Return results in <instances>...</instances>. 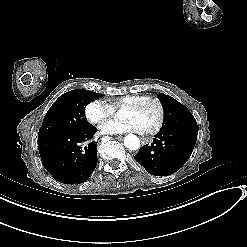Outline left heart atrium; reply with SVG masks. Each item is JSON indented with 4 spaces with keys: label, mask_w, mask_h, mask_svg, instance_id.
<instances>
[{
    "label": "left heart atrium",
    "mask_w": 247,
    "mask_h": 247,
    "mask_svg": "<svg viewBox=\"0 0 247 247\" xmlns=\"http://www.w3.org/2000/svg\"><path fill=\"white\" fill-rule=\"evenodd\" d=\"M103 133L119 134L125 132H140L142 127L137 119L131 118L122 122H111L101 127Z\"/></svg>",
    "instance_id": "1"
}]
</instances>
